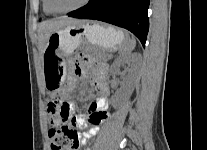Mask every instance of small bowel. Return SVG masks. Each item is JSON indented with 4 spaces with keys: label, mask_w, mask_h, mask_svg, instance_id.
Returning <instances> with one entry per match:
<instances>
[{
    "label": "small bowel",
    "mask_w": 207,
    "mask_h": 150,
    "mask_svg": "<svg viewBox=\"0 0 207 150\" xmlns=\"http://www.w3.org/2000/svg\"><path fill=\"white\" fill-rule=\"evenodd\" d=\"M88 64L94 72V85L99 90L102 96L89 105L86 115H73L74 104L73 102L66 100V102L70 103V106L67 107L70 115L69 126L71 128L75 127L77 129L88 128V131H86L85 133H78V146L83 145V150H91V145L84 144L98 132L99 125L103 123L108 117L107 95L109 94V88L106 82V70L102 65L98 63L88 62ZM75 74L77 76H84L86 74V70L82 66H78L75 70ZM74 85L75 79L74 77H71L69 79V86L73 88Z\"/></svg>",
    "instance_id": "c3829d8e"
}]
</instances>
